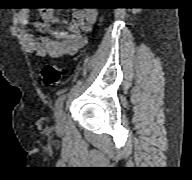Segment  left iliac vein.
I'll use <instances>...</instances> for the list:
<instances>
[{
	"label": "left iliac vein",
	"mask_w": 192,
	"mask_h": 180,
	"mask_svg": "<svg viewBox=\"0 0 192 180\" xmlns=\"http://www.w3.org/2000/svg\"><path fill=\"white\" fill-rule=\"evenodd\" d=\"M65 124H66L65 112L63 110H60L56 116V129L58 131H62L65 128Z\"/></svg>",
	"instance_id": "4c4485c4"
}]
</instances>
